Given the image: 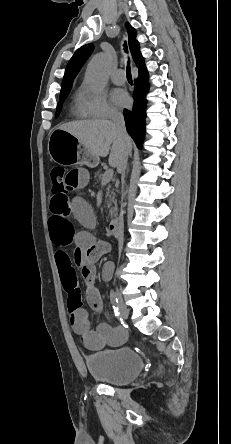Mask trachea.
I'll return each instance as SVG.
<instances>
[{
  "mask_svg": "<svg viewBox=\"0 0 231 444\" xmlns=\"http://www.w3.org/2000/svg\"><path fill=\"white\" fill-rule=\"evenodd\" d=\"M124 50L127 52V46L124 44ZM127 79L132 81L131 68H130V60H128L127 68H126Z\"/></svg>",
  "mask_w": 231,
  "mask_h": 444,
  "instance_id": "trachea-1",
  "label": "trachea"
}]
</instances>
